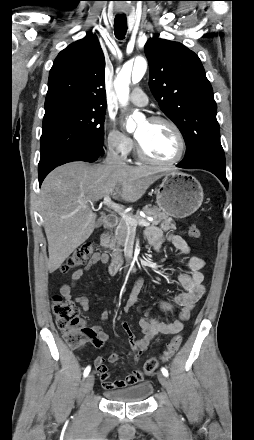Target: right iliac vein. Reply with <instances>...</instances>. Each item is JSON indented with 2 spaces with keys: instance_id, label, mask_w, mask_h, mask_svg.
<instances>
[{
  "instance_id": "obj_1",
  "label": "right iliac vein",
  "mask_w": 254,
  "mask_h": 440,
  "mask_svg": "<svg viewBox=\"0 0 254 440\" xmlns=\"http://www.w3.org/2000/svg\"><path fill=\"white\" fill-rule=\"evenodd\" d=\"M94 385V376L92 374L88 375L83 384V392L84 394L89 393Z\"/></svg>"
}]
</instances>
